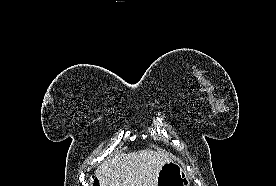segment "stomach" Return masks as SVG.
<instances>
[{
  "label": "stomach",
  "mask_w": 276,
  "mask_h": 186,
  "mask_svg": "<svg viewBox=\"0 0 276 186\" xmlns=\"http://www.w3.org/2000/svg\"><path fill=\"white\" fill-rule=\"evenodd\" d=\"M156 186H189V179L182 166L171 160L160 168Z\"/></svg>",
  "instance_id": "obj_1"
}]
</instances>
